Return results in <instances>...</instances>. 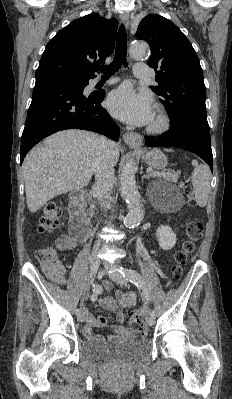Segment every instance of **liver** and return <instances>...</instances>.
<instances>
[{
	"label": "liver",
	"mask_w": 232,
	"mask_h": 399,
	"mask_svg": "<svg viewBox=\"0 0 232 399\" xmlns=\"http://www.w3.org/2000/svg\"><path fill=\"white\" fill-rule=\"evenodd\" d=\"M98 136L83 130H65L49 136L27 154L22 170L28 207L38 211L46 201L89 184L101 146ZM112 164L119 160V146L110 148Z\"/></svg>",
	"instance_id": "obj_1"
}]
</instances>
